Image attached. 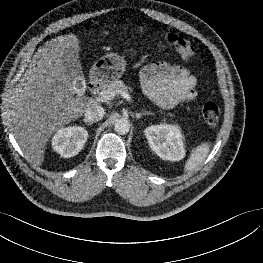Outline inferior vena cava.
<instances>
[{
	"instance_id": "inferior-vena-cava-1",
	"label": "inferior vena cava",
	"mask_w": 263,
	"mask_h": 263,
	"mask_svg": "<svg viewBox=\"0 0 263 263\" xmlns=\"http://www.w3.org/2000/svg\"><path fill=\"white\" fill-rule=\"evenodd\" d=\"M105 110L99 104H92L85 110V118L90 122H97L104 117Z\"/></svg>"
}]
</instances>
